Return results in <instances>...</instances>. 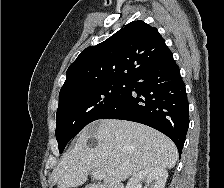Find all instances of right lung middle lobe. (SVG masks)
Wrapping results in <instances>:
<instances>
[{
    "mask_svg": "<svg viewBox=\"0 0 224 188\" xmlns=\"http://www.w3.org/2000/svg\"><path fill=\"white\" fill-rule=\"evenodd\" d=\"M130 81H107L61 91L56 113V138L60 154L87 124L101 119L128 94Z\"/></svg>",
    "mask_w": 224,
    "mask_h": 188,
    "instance_id": "dd1d6c3e",
    "label": "right lung middle lobe"
}]
</instances>
